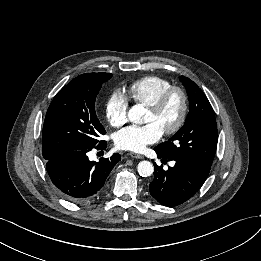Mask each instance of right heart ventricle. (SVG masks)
<instances>
[{"label":"right heart ventricle","mask_w":261,"mask_h":261,"mask_svg":"<svg viewBox=\"0 0 261 261\" xmlns=\"http://www.w3.org/2000/svg\"><path fill=\"white\" fill-rule=\"evenodd\" d=\"M170 87L171 82L157 76L142 77L129 86L127 95L136 104L153 105L157 99Z\"/></svg>","instance_id":"obj_1"}]
</instances>
